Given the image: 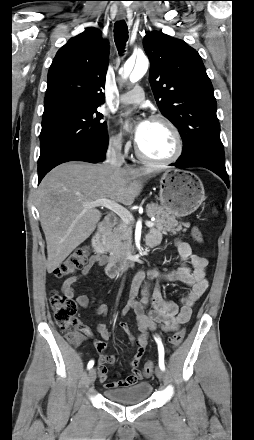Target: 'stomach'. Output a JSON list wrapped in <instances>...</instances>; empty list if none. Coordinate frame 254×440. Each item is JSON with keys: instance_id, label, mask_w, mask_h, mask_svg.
<instances>
[{"instance_id": "0dacf381", "label": "stomach", "mask_w": 254, "mask_h": 440, "mask_svg": "<svg viewBox=\"0 0 254 440\" xmlns=\"http://www.w3.org/2000/svg\"><path fill=\"white\" fill-rule=\"evenodd\" d=\"M162 208L173 216L185 217L195 212L205 199L204 186L192 172L171 169L159 181Z\"/></svg>"}]
</instances>
